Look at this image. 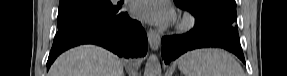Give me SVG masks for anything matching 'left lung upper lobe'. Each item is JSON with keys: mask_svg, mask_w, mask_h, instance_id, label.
I'll return each mask as SVG.
<instances>
[{"mask_svg": "<svg viewBox=\"0 0 287 76\" xmlns=\"http://www.w3.org/2000/svg\"><path fill=\"white\" fill-rule=\"evenodd\" d=\"M175 4L227 33L238 35L235 0H174Z\"/></svg>", "mask_w": 287, "mask_h": 76, "instance_id": "5c2ea615", "label": "left lung upper lobe"}]
</instances>
